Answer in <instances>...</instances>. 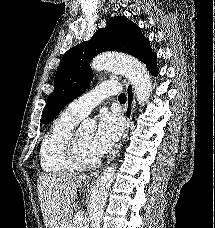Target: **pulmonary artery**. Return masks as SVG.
I'll list each match as a JSON object with an SVG mask.
<instances>
[{
	"mask_svg": "<svg viewBox=\"0 0 215 228\" xmlns=\"http://www.w3.org/2000/svg\"><path fill=\"white\" fill-rule=\"evenodd\" d=\"M116 93H125V88L120 82L99 84V88L91 90L84 96L72 101L67 110L79 118H84L93 107L100 104L106 97Z\"/></svg>",
	"mask_w": 215,
	"mask_h": 228,
	"instance_id": "pulmonary-artery-1",
	"label": "pulmonary artery"
}]
</instances>
